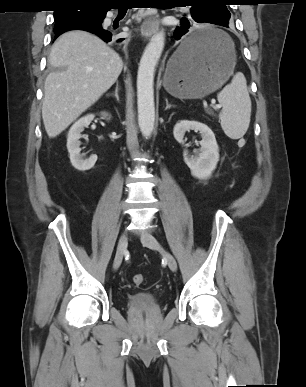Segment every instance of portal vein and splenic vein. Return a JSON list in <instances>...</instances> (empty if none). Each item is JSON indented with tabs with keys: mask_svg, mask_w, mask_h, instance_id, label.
Listing matches in <instances>:
<instances>
[{
	"mask_svg": "<svg viewBox=\"0 0 306 387\" xmlns=\"http://www.w3.org/2000/svg\"><path fill=\"white\" fill-rule=\"evenodd\" d=\"M221 107H222V106L219 105V104L214 106L215 109H220Z\"/></svg>",
	"mask_w": 306,
	"mask_h": 387,
	"instance_id": "18ae733b",
	"label": "portal vein and splenic vein"
}]
</instances>
